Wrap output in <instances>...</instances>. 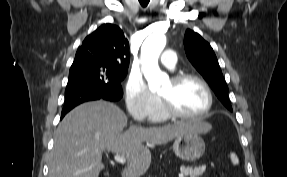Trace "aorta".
<instances>
[{
  "label": "aorta",
  "mask_w": 287,
  "mask_h": 177,
  "mask_svg": "<svg viewBox=\"0 0 287 177\" xmlns=\"http://www.w3.org/2000/svg\"><path fill=\"white\" fill-rule=\"evenodd\" d=\"M165 45V35L156 32L150 35L141 47L142 71L152 92L158 91L168 81L167 74L163 73L158 65V58Z\"/></svg>",
  "instance_id": "obj_1"
}]
</instances>
